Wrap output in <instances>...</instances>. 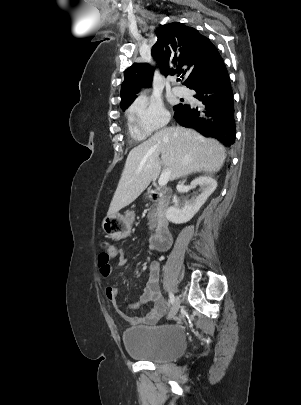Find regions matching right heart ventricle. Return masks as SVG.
Wrapping results in <instances>:
<instances>
[{"mask_svg":"<svg viewBox=\"0 0 301 405\" xmlns=\"http://www.w3.org/2000/svg\"><path fill=\"white\" fill-rule=\"evenodd\" d=\"M132 133H133V135H135V136H138L139 134L136 132V130L134 129V128H132Z\"/></svg>","mask_w":301,"mask_h":405,"instance_id":"1","label":"right heart ventricle"}]
</instances>
